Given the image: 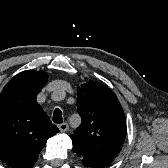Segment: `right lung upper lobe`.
<instances>
[{
	"label": "right lung upper lobe",
	"mask_w": 168,
	"mask_h": 168,
	"mask_svg": "<svg viewBox=\"0 0 168 168\" xmlns=\"http://www.w3.org/2000/svg\"><path fill=\"white\" fill-rule=\"evenodd\" d=\"M44 71H24L0 94V160L12 168H32L47 140L59 132L36 97L46 84Z\"/></svg>",
	"instance_id": "right-lung-upper-lobe-1"
}]
</instances>
